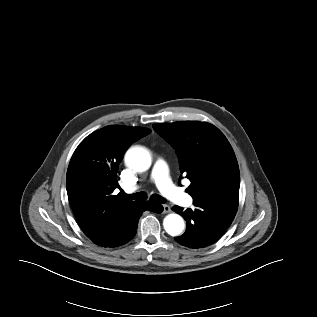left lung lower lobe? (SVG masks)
Returning <instances> with one entry per match:
<instances>
[{"mask_svg": "<svg viewBox=\"0 0 317 317\" xmlns=\"http://www.w3.org/2000/svg\"><path fill=\"white\" fill-rule=\"evenodd\" d=\"M195 210L174 206L173 211L186 220V231L175 240L193 249L205 248L215 243L232 223L236 207L207 202H193Z\"/></svg>", "mask_w": 317, "mask_h": 317, "instance_id": "obj_1", "label": "left lung lower lobe"}]
</instances>
